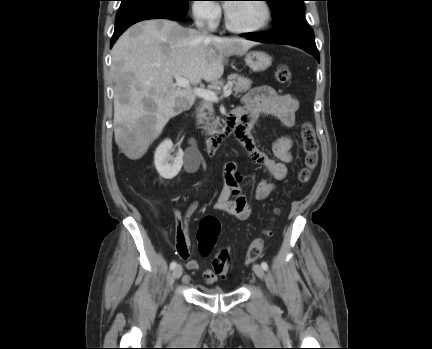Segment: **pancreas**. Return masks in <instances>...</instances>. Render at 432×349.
<instances>
[{
  "label": "pancreas",
  "instance_id": "obj_1",
  "mask_svg": "<svg viewBox=\"0 0 432 349\" xmlns=\"http://www.w3.org/2000/svg\"><path fill=\"white\" fill-rule=\"evenodd\" d=\"M226 85L222 87L232 85L235 95L245 93L250 89L252 81L246 77L238 74H231L227 77ZM198 124H203V129L206 130L208 135L217 133V127L219 124V118H215L214 108L212 101L204 100L201 103V107L197 110Z\"/></svg>",
  "mask_w": 432,
  "mask_h": 349
}]
</instances>
